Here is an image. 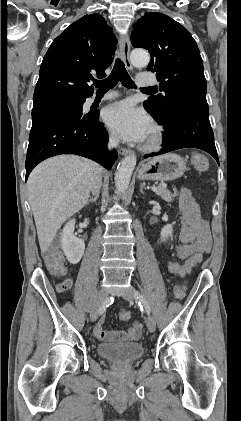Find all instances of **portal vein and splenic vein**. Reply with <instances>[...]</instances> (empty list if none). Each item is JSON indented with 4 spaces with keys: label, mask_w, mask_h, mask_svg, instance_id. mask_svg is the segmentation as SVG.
<instances>
[{
    "label": "portal vein and splenic vein",
    "mask_w": 241,
    "mask_h": 421,
    "mask_svg": "<svg viewBox=\"0 0 241 421\" xmlns=\"http://www.w3.org/2000/svg\"><path fill=\"white\" fill-rule=\"evenodd\" d=\"M151 189H152V191H156L157 190L156 187H152Z\"/></svg>",
    "instance_id": "1"
}]
</instances>
